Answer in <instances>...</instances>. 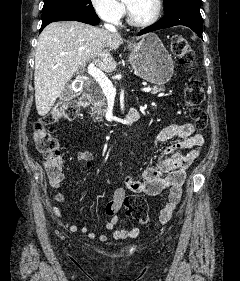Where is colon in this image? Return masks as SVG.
Instances as JSON below:
<instances>
[{
	"label": "colon",
	"instance_id": "1",
	"mask_svg": "<svg viewBox=\"0 0 240 281\" xmlns=\"http://www.w3.org/2000/svg\"><path fill=\"white\" fill-rule=\"evenodd\" d=\"M171 50L179 62L191 72L184 87V104L196 128L203 131L208 124L206 113L201 108L204 100V86L195 70L193 50L187 39L181 35L173 36ZM76 113L77 104L74 100L61 101L34 126L35 146L38 152L43 155L44 166L50 175H57L62 166L59 143L53 136L51 127L58 122L74 119ZM124 206L127 213L137 222L144 224L148 221V206L142 197L127 196L124 200Z\"/></svg>",
	"mask_w": 240,
	"mask_h": 281
}]
</instances>
